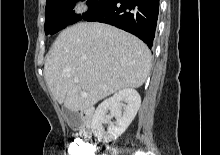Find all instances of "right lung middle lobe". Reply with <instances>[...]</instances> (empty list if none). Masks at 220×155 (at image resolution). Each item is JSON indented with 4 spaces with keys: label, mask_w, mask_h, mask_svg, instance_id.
<instances>
[{
    "label": "right lung middle lobe",
    "mask_w": 220,
    "mask_h": 155,
    "mask_svg": "<svg viewBox=\"0 0 220 155\" xmlns=\"http://www.w3.org/2000/svg\"><path fill=\"white\" fill-rule=\"evenodd\" d=\"M113 0H87L88 11L82 17L72 11L76 0H53L46 3L45 34H55L67 25L86 19L105 9Z\"/></svg>",
    "instance_id": "dd1d6c3e"
}]
</instances>
